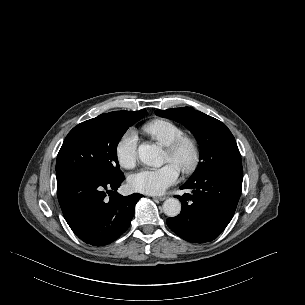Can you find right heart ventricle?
Wrapping results in <instances>:
<instances>
[{
	"instance_id": "1",
	"label": "right heart ventricle",
	"mask_w": 305,
	"mask_h": 305,
	"mask_svg": "<svg viewBox=\"0 0 305 305\" xmlns=\"http://www.w3.org/2000/svg\"><path fill=\"white\" fill-rule=\"evenodd\" d=\"M143 130L164 146L185 135V131L179 125L165 119L152 120L143 126Z\"/></svg>"
}]
</instances>
